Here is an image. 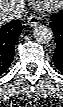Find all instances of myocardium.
I'll use <instances>...</instances> for the list:
<instances>
[{
    "label": "myocardium",
    "mask_w": 63,
    "mask_h": 107,
    "mask_svg": "<svg viewBox=\"0 0 63 107\" xmlns=\"http://www.w3.org/2000/svg\"><path fill=\"white\" fill-rule=\"evenodd\" d=\"M41 6L47 10H54L59 8L63 1L62 0H39Z\"/></svg>",
    "instance_id": "1"
}]
</instances>
